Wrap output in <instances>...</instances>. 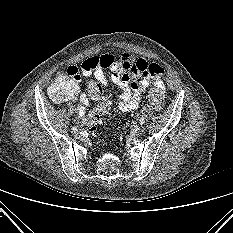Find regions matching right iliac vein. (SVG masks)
I'll list each match as a JSON object with an SVG mask.
<instances>
[{
    "instance_id": "1",
    "label": "right iliac vein",
    "mask_w": 233,
    "mask_h": 233,
    "mask_svg": "<svg viewBox=\"0 0 233 233\" xmlns=\"http://www.w3.org/2000/svg\"><path fill=\"white\" fill-rule=\"evenodd\" d=\"M76 137L81 138V137H82V132L78 131V132L76 133Z\"/></svg>"
}]
</instances>
